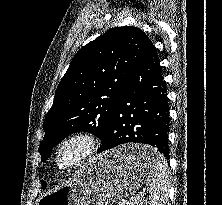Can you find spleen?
<instances>
[{"label": "spleen", "instance_id": "obj_1", "mask_svg": "<svg viewBox=\"0 0 222 205\" xmlns=\"http://www.w3.org/2000/svg\"><path fill=\"white\" fill-rule=\"evenodd\" d=\"M146 180L147 195L140 198L138 205H166L167 162L161 154L152 156Z\"/></svg>", "mask_w": 222, "mask_h": 205}]
</instances>
